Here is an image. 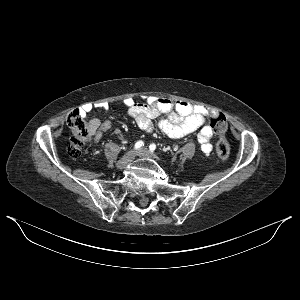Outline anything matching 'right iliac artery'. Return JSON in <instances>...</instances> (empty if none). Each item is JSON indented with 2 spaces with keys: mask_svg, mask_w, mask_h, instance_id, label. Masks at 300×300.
<instances>
[{
  "mask_svg": "<svg viewBox=\"0 0 300 300\" xmlns=\"http://www.w3.org/2000/svg\"><path fill=\"white\" fill-rule=\"evenodd\" d=\"M142 146H144V142H143V141H138V142H136L134 148H135L136 150H138V149H140Z\"/></svg>",
  "mask_w": 300,
  "mask_h": 300,
  "instance_id": "obj_1",
  "label": "right iliac artery"
}]
</instances>
